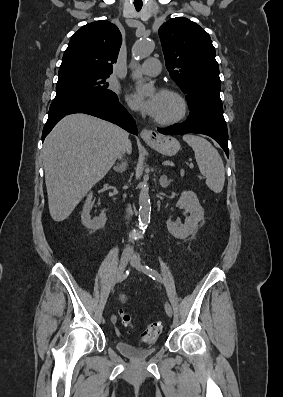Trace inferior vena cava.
Returning <instances> with one entry per match:
<instances>
[{
	"instance_id": "inferior-vena-cava-1",
	"label": "inferior vena cava",
	"mask_w": 283,
	"mask_h": 397,
	"mask_svg": "<svg viewBox=\"0 0 283 397\" xmlns=\"http://www.w3.org/2000/svg\"><path fill=\"white\" fill-rule=\"evenodd\" d=\"M122 135H123V147L120 151L119 158H121L122 155L127 151L128 145L130 143V141L128 139V133L123 132ZM126 213H127L126 218L130 219V217L132 216V208L130 205H128V207L126 209ZM127 248L129 249V246Z\"/></svg>"
}]
</instances>
